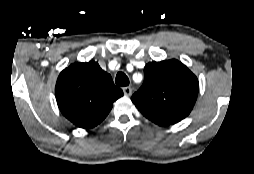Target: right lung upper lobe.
<instances>
[{
    "label": "right lung upper lobe",
    "mask_w": 254,
    "mask_h": 174,
    "mask_svg": "<svg viewBox=\"0 0 254 174\" xmlns=\"http://www.w3.org/2000/svg\"><path fill=\"white\" fill-rule=\"evenodd\" d=\"M62 114L79 128H93L110 112L123 95L111 76L94 61L74 63L59 75L55 87Z\"/></svg>",
    "instance_id": "right-lung-upper-lobe-1"
}]
</instances>
